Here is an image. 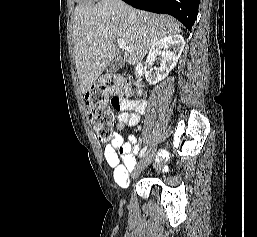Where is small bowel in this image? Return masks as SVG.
Returning a JSON list of instances; mask_svg holds the SVG:
<instances>
[{"mask_svg": "<svg viewBox=\"0 0 257 237\" xmlns=\"http://www.w3.org/2000/svg\"><path fill=\"white\" fill-rule=\"evenodd\" d=\"M147 105V101L143 99H125L113 104L119 112L115 122L116 132L113 133L110 142L104 147L103 155L108 165L113 169L116 184L121 187L128 185V175L135 169V156L139 152V146L133 135L128 136L125 140L119 132L126 127L136 126L145 113Z\"/></svg>", "mask_w": 257, "mask_h": 237, "instance_id": "c3829d8e", "label": "small bowel"}]
</instances>
